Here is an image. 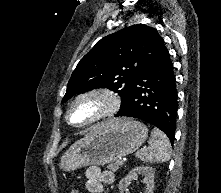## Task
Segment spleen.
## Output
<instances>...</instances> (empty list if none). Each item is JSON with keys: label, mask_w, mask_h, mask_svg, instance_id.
<instances>
[{"label": "spleen", "mask_w": 221, "mask_h": 193, "mask_svg": "<svg viewBox=\"0 0 221 193\" xmlns=\"http://www.w3.org/2000/svg\"><path fill=\"white\" fill-rule=\"evenodd\" d=\"M143 162H167L171 155V145L167 136L159 129L154 128L149 139V146L136 153Z\"/></svg>", "instance_id": "spleen-1"}]
</instances>
